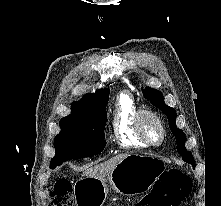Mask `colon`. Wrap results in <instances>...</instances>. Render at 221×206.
<instances>
[{"mask_svg": "<svg viewBox=\"0 0 221 206\" xmlns=\"http://www.w3.org/2000/svg\"><path fill=\"white\" fill-rule=\"evenodd\" d=\"M192 189L191 179L172 169L165 172L153 190L136 206H178ZM52 206H75L73 187L69 180H58L51 191Z\"/></svg>", "mask_w": 221, "mask_h": 206, "instance_id": "5ec220e1", "label": "colon"}]
</instances>
